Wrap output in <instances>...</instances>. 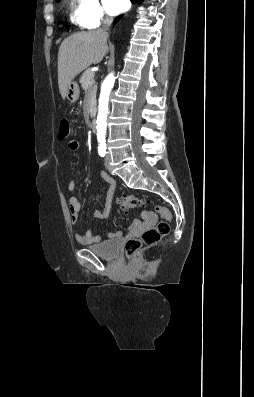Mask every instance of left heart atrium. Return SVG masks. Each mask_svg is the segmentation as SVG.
<instances>
[{"label": "left heart atrium", "mask_w": 254, "mask_h": 397, "mask_svg": "<svg viewBox=\"0 0 254 397\" xmlns=\"http://www.w3.org/2000/svg\"><path fill=\"white\" fill-rule=\"evenodd\" d=\"M106 10L112 14H118L125 10L128 0H103Z\"/></svg>", "instance_id": "1"}]
</instances>
